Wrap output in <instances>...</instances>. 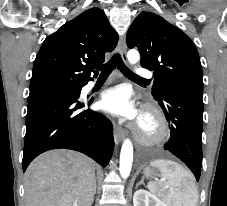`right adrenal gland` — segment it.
Here are the masks:
<instances>
[{
    "label": "right adrenal gland",
    "instance_id": "right-adrenal-gland-1",
    "mask_svg": "<svg viewBox=\"0 0 227 206\" xmlns=\"http://www.w3.org/2000/svg\"><path fill=\"white\" fill-rule=\"evenodd\" d=\"M94 194H96V182H95V190H94Z\"/></svg>",
    "mask_w": 227,
    "mask_h": 206
}]
</instances>
